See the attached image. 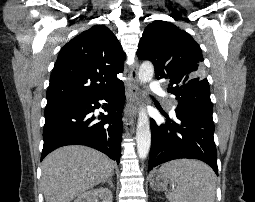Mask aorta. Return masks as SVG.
<instances>
[{
  "label": "aorta",
  "instance_id": "1",
  "mask_svg": "<svg viewBox=\"0 0 255 202\" xmlns=\"http://www.w3.org/2000/svg\"><path fill=\"white\" fill-rule=\"evenodd\" d=\"M154 75V66L151 62L145 61L141 64L138 71V78L140 83H148L152 80ZM136 143L137 153L140 159H145L151 147V131L150 122L147 113L141 109L138 116L136 128Z\"/></svg>",
  "mask_w": 255,
  "mask_h": 202
}]
</instances>
